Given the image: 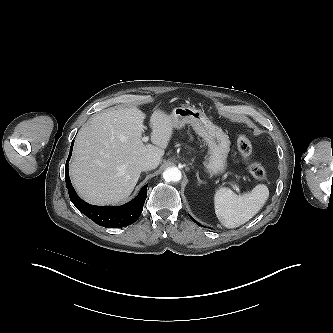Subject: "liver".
<instances>
[{
    "mask_svg": "<svg viewBox=\"0 0 333 333\" xmlns=\"http://www.w3.org/2000/svg\"><path fill=\"white\" fill-rule=\"evenodd\" d=\"M145 114L139 108L108 109L79 131L69 172L78 194L95 205L117 204L136 186L145 158H161L173 134L171 116L157 108L150 119L152 144L142 142Z\"/></svg>",
    "mask_w": 333,
    "mask_h": 333,
    "instance_id": "liver-1",
    "label": "liver"
}]
</instances>
